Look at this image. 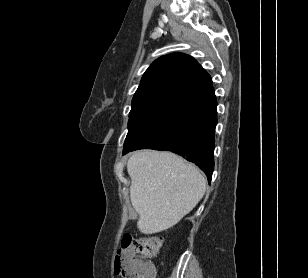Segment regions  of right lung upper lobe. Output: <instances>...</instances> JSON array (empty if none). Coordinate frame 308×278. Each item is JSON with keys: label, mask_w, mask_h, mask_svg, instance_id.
Wrapping results in <instances>:
<instances>
[{"label": "right lung upper lobe", "mask_w": 308, "mask_h": 278, "mask_svg": "<svg viewBox=\"0 0 308 278\" xmlns=\"http://www.w3.org/2000/svg\"><path fill=\"white\" fill-rule=\"evenodd\" d=\"M213 93L210 75L194 58L183 53L168 54L154 61L144 73L129 117L180 114Z\"/></svg>", "instance_id": "cb5924a9"}]
</instances>
